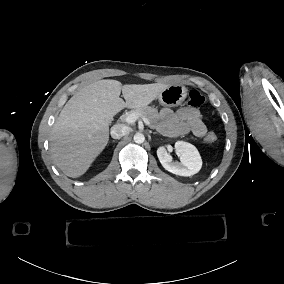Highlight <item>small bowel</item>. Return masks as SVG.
I'll return each instance as SVG.
<instances>
[{
    "mask_svg": "<svg viewBox=\"0 0 284 284\" xmlns=\"http://www.w3.org/2000/svg\"><path fill=\"white\" fill-rule=\"evenodd\" d=\"M161 131L169 137H177L192 133L197 137L206 134V126L200 111L194 108L182 107L177 110L162 108L159 112Z\"/></svg>",
    "mask_w": 284,
    "mask_h": 284,
    "instance_id": "obj_1",
    "label": "small bowel"
}]
</instances>
